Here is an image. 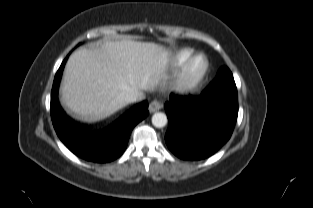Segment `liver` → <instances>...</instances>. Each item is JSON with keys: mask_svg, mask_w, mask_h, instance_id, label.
I'll return each mask as SVG.
<instances>
[{"mask_svg": "<svg viewBox=\"0 0 313 208\" xmlns=\"http://www.w3.org/2000/svg\"><path fill=\"white\" fill-rule=\"evenodd\" d=\"M168 62L169 52L153 42L124 39L82 48L67 61L62 104L84 121L106 118L123 107L120 95L127 89L137 90L139 99L153 90L167 77Z\"/></svg>", "mask_w": 313, "mask_h": 208, "instance_id": "obj_1", "label": "liver"}]
</instances>
